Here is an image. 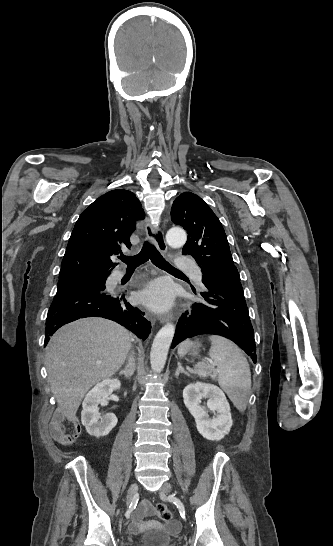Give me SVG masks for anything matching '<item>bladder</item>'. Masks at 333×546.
Segmentation results:
<instances>
[{
  "label": "bladder",
  "instance_id": "1",
  "mask_svg": "<svg viewBox=\"0 0 333 546\" xmlns=\"http://www.w3.org/2000/svg\"><path fill=\"white\" fill-rule=\"evenodd\" d=\"M143 541L152 542V543L156 544L157 546H166L170 541V537L167 534H165L164 532L152 531V532L147 533L143 537Z\"/></svg>",
  "mask_w": 333,
  "mask_h": 546
}]
</instances>
